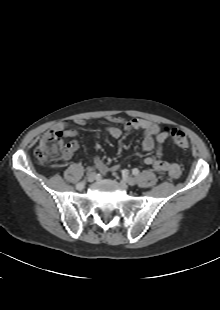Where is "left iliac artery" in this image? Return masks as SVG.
I'll return each instance as SVG.
<instances>
[{
    "mask_svg": "<svg viewBox=\"0 0 220 310\" xmlns=\"http://www.w3.org/2000/svg\"><path fill=\"white\" fill-rule=\"evenodd\" d=\"M132 173H133L134 175H138V174H139V170H138L137 168H134V169L132 170Z\"/></svg>",
    "mask_w": 220,
    "mask_h": 310,
    "instance_id": "44dca946",
    "label": "left iliac artery"
}]
</instances>
